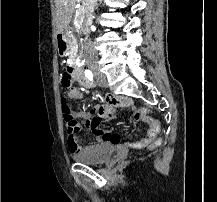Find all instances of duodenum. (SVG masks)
Masks as SVG:
<instances>
[{
    "label": "duodenum",
    "mask_w": 217,
    "mask_h": 202,
    "mask_svg": "<svg viewBox=\"0 0 217 202\" xmlns=\"http://www.w3.org/2000/svg\"><path fill=\"white\" fill-rule=\"evenodd\" d=\"M58 52L61 57H65L68 53L67 41L64 34H59L57 37ZM67 71L84 87L90 88L93 84L85 76L82 68L68 66Z\"/></svg>",
    "instance_id": "duodenum-1"
}]
</instances>
